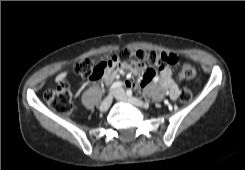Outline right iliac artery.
<instances>
[{"label":"right iliac artery","mask_w":245,"mask_h":170,"mask_svg":"<svg viewBox=\"0 0 245 170\" xmlns=\"http://www.w3.org/2000/svg\"><path fill=\"white\" fill-rule=\"evenodd\" d=\"M122 86V82H120V81H117V82H115V83H113L112 85H111V87L109 88V92H111L113 89H115V88H118V87H121Z\"/></svg>","instance_id":"1"}]
</instances>
